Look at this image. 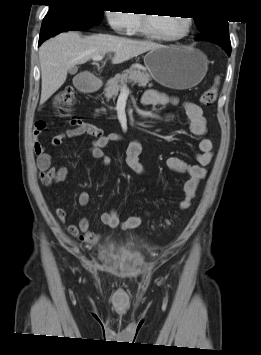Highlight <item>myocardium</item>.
Returning <instances> with one entry per match:
<instances>
[{
	"mask_svg": "<svg viewBox=\"0 0 261 355\" xmlns=\"http://www.w3.org/2000/svg\"><path fill=\"white\" fill-rule=\"evenodd\" d=\"M185 20V30L179 34L178 36H165L162 34H159L157 32H155L150 24H149V16L148 14H142L140 17L141 23H140V27H141V32L151 38V39H155V40H160V41H166V42H176V41H180L182 39H184L185 37H187L189 35V33L191 32L192 29V18L189 16H184L183 17Z\"/></svg>",
	"mask_w": 261,
	"mask_h": 355,
	"instance_id": "myocardium-1",
	"label": "myocardium"
}]
</instances>
